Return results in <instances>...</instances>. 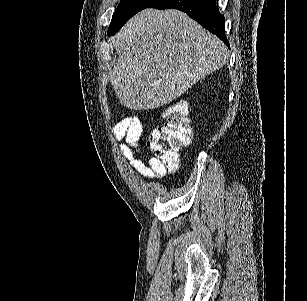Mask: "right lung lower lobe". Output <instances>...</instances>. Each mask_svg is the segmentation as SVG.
I'll return each mask as SVG.
<instances>
[{
  "label": "right lung lower lobe",
  "instance_id": "1",
  "mask_svg": "<svg viewBox=\"0 0 307 301\" xmlns=\"http://www.w3.org/2000/svg\"><path fill=\"white\" fill-rule=\"evenodd\" d=\"M217 0H157L148 8L177 9L185 12L200 25L217 35L229 47L225 36V18L219 13Z\"/></svg>",
  "mask_w": 307,
  "mask_h": 301
}]
</instances>
